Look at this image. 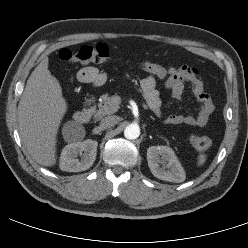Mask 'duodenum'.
Here are the masks:
<instances>
[{
  "label": "duodenum",
  "instance_id": "duodenum-1",
  "mask_svg": "<svg viewBox=\"0 0 248 248\" xmlns=\"http://www.w3.org/2000/svg\"><path fill=\"white\" fill-rule=\"evenodd\" d=\"M91 105H92V100L86 101L85 107L82 110H79L74 114V120L76 123L85 124L90 120V118H91V111H90Z\"/></svg>",
  "mask_w": 248,
  "mask_h": 248
}]
</instances>
